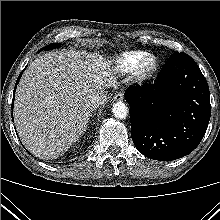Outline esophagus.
Listing matches in <instances>:
<instances>
[{
  "label": "esophagus",
  "instance_id": "esophagus-1",
  "mask_svg": "<svg viewBox=\"0 0 220 220\" xmlns=\"http://www.w3.org/2000/svg\"><path fill=\"white\" fill-rule=\"evenodd\" d=\"M124 98V93L123 92H117L114 95V101H121Z\"/></svg>",
  "mask_w": 220,
  "mask_h": 220
}]
</instances>
